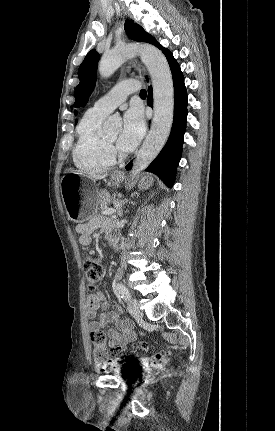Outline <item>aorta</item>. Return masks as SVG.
Returning <instances> with one entry per match:
<instances>
[{
	"label": "aorta",
	"instance_id": "obj_1",
	"mask_svg": "<svg viewBox=\"0 0 275 431\" xmlns=\"http://www.w3.org/2000/svg\"><path fill=\"white\" fill-rule=\"evenodd\" d=\"M139 55L145 64L153 86L154 116L151 129L133 163L132 175L146 169L164 147L173 123L174 87L169 64L163 53L151 45H125L103 55L99 73L110 77L127 59ZM120 126L119 118L111 116L105 123L107 130Z\"/></svg>",
	"mask_w": 275,
	"mask_h": 431
}]
</instances>
